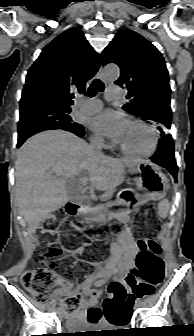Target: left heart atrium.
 Segmentation results:
<instances>
[{
	"label": "left heart atrium",
	"instance_id": "1",
	"mask_svg": "<svg viewBox=\"0 0 194 336\" xmlns=\"http://www.w3.org/2000/svg\"><path fill=\"white\" fill-rule=\"evenodd\" d=\"M126 121L123 115L117 111L106 110L91 121V128L98 134L103 135L114 142H119Z\"/></svg>",
	"mask_w": 194,
	"mask_h": 336
}]
</instances>
